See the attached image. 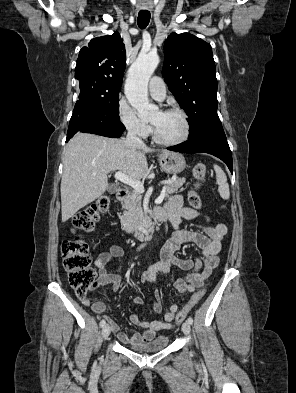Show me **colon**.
I'll return each mask as SVG.
<instances>
[{
	"mask_svg": "<svg viewBox=\"0 0 296 393\" xmlns=\"http://www.w3.org/2000/svg\"><path fill=\"white\" fill-rule=\"evenodd\" d=\"M207 167L203 163L197 164L193 169V188L188 199L193 209L201 208V199L198 194L203 185ZM109 207V198L99 197L88 207L78 211L72 217L74 231H91L100 214L105 213ZM62 257L64 268L68 274L71 288L79 297L87 295L88 291L97 283L96 272L91 265L88 243L80 237L65 240L62 244ZM205 288L195 292L191 300L176 314L175 323H182L191 312L192 308L203 298Z\"/></svg>",
	"mask_w": 296,
	"mask_h": 393,
	"instance_id": "obj_1",
	"label": "colon"
}]
</instances>
